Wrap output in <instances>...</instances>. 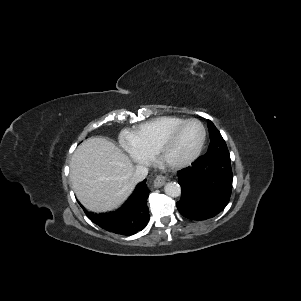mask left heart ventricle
I'll return each instance as SVG.
<instances>
[{
	"label": "left heart ventricle",
	"instance_id": "left-heart-ventricle-1",
	"mask_svg": "<svg viewBox=\"0 0 301 301\" xmlns=\"http://www.w3.org/2000/svg\"><path fill=\"white\" fill-rule=\"evenodd\" d=\"M202 136L198 123L186 124L170 144L167 157L172 161H179L189 157L197 148Z\"/></svg>",
	"mask_w": 301,
	"mask_h": 301
}]
</instances>
